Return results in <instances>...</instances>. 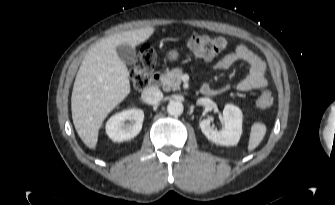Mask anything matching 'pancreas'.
Returning <instances> with one entry per match:
<instances>
[{
	"label": "pancreas",
	"instance_id": "pancreas-1",
	"mask_svg": "<svg viewBox=\"0 0 335 205\" xmlns=\"http://www.w3.org/2000/svg\"><path fill=\"white\" fill-rule=\"evenodd\" d=\"M182 69L174 68L172 70H167L163 75L162 85L165 91L179 90L181 84Z\"/></svg>",
	"mask_w": 335,
	"mask_h": 205
}]
</instances>
